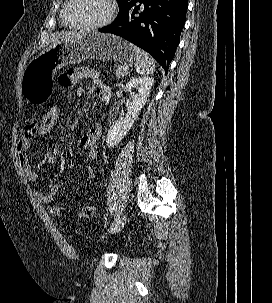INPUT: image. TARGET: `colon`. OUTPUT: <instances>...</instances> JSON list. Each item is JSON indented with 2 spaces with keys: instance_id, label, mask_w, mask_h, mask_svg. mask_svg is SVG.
Returning <instances> with one entry per match:
<instances>
[{
  "instance_id": "obj_1",
  "label": "colon",
  "mask_w": 272,
  "mask_h": 303,
  "mask_svg": "<svg viewBox=\"0 0 272 303\" xmlns=\"http://www.w3.org/2000/svg\"><path fill=\"white\" fill-rule=\"evenodd\" d=\"M60 118L61 111L59 106L57 104L49 106L42 117L38 120V135L44 138L51 137L57 130ZM94 212L95 207L88 205L82 208L81 216L83 218H89L93 216Z\"/></svg>"
}]
</instances>
